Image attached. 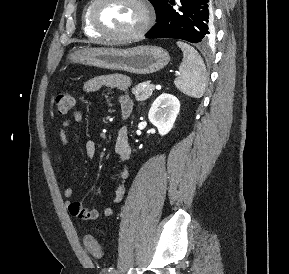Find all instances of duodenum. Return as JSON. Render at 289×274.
Wrapping results in <instances>:
<instances>
[{
	"mask_svg": "<svg viewBox=\"0 0 289 274\" xmlns=\"http://www.w3.org/2000/svg\"><path fill=\"white\" fill-rule=\"evenodd\" d=\"M123 115H124V116H128V112H125Z\"/></svg>",
	"mask_w": 289,
	"mask_h": 274,
	"instance_id": "410a0bca",
	"label": "duodenum"
}]
</instances>
